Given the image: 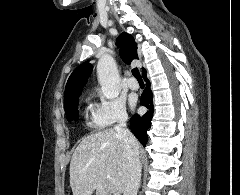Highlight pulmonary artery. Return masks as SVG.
<instances>
[{
    "label": "pulmonary artery",
    "mask_w": 240,
    "mask_h": 195,
    "mask_svg": "<svg viewBox=\"0 0 240 195\" xmlns=\"http://www.w3.org/2000/svg\"><path fill=\"white\" fill-rule=\"evenodd\" d=\"M127 84L131 89L137 90L139 88V83L135 79H128Z\"/></svg>",
    "instance_id": "obj_1"
}]
</instances>
